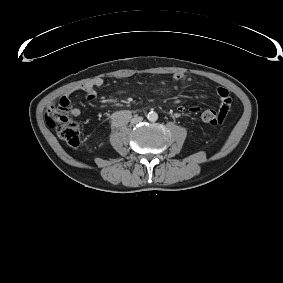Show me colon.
Segmentation results:
<instances>
[{
	"label": "colon",
	"instance_id": "obj_1",
	"mask_svg": "<svg viewBox=\"0 0 283 283\" xmlns=\"http://www.w3.org/2000/svg\"><path fill=\"white\" fill-rule=\"evenodd\" d=\"M70 111L68 98L62 97L57 106L49 109L46 122L66 144L77 147L81 143V129L78 123L71 118ZM226 114V109H206L202 118L209 124L219 125L225 120Z\"/></svg>",
	"mask_w": 283,
	"mask_h": 283
}]
</instances>
